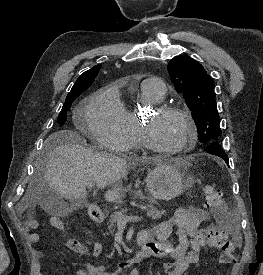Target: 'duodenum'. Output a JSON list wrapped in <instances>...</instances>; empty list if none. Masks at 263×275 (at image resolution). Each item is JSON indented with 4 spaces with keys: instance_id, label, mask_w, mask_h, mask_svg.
<instances>
[{
    "instance_id": "duodenum-1",
    "label": "duodenum",
    "mask_w": 263,
    "mask_h": 275,
    "mask_svg": "<svg viewBox=\"0 0 263 275\" xmlns=\"http://www.w3.org/2000/svg\"><path fill=\"white\" fill-rule=\"evenodd\" d=\"M89 215L92 218L93 221L100 223L103 221V215L93 206L89 207ZM138 245L140 247L139 252L137 253V255L130 259L127 260L125 262H122L120 264L121 267H127L137 261H139L142 258H146L150 256V252L147 249V238L144 234L139 233L138 235V239H137Z\"/></svg>"
}]
</instances>
